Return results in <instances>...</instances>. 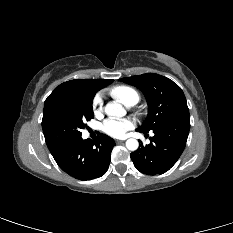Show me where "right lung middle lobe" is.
Masks as SVG:
<instances>
[{
	"instance_id": "dd1d6c3e",
	"label": "right lung middle lobe",
	"mask_w": 233,
	"mask_h": 233,
	"mask_svg": "<svg viewBox=\"0 0 233 233\" xmlns=\"http://www.w3.org/2000/svg\"><path fill=\"white\" fill-rule=\"evenodd\" d=\"M93 93H79L56 104L42 124L49 149L81 136L85 121L94 117Z\"/></svg>"
}]
</instances>
